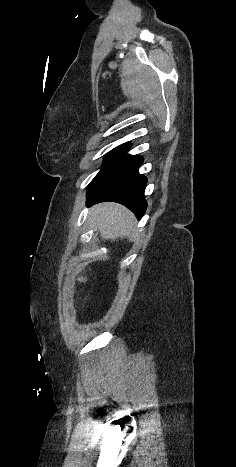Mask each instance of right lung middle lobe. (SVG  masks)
<instances>
[{
    "mask_svg": "<svg viewBox=\"0 0 236 467\" xmlns=\"http://www.w3.org/2000/svg\"><path fill=\"white\" fill-rule=\"evenodd\" d=\"M126 145H127V143H126V144H123V145H121V146H118V147H116L115 149H113V150L106 156V159L111 158L114 154H116L119 150H121V149H122L123 147H125Z\"/></svg>",
    "mask_w": 236,
    "mask_h": 467,
    "instance_id": "1",
    "label": "right lung middle lobe"
}]
</instances>
